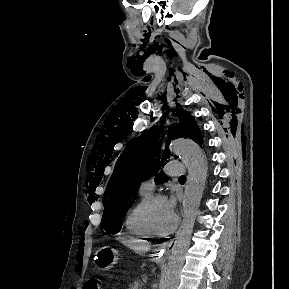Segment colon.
I'll list each match as a JSON object with an SVG mask.
<instances>
[{
    "mask_svg": "<svg viewBox=\"0 0 289 289\" xmlns=\"http://www.w3.org/2000/svg\"><path fill=\"white\" fill-rule=\"evenodd\" d=\"M84 289H103L101 283L97 280H90L86 283Z\"/></svg>",
    "mask_w": 289,
    "mask_h": 289,
    "instance_id": "colon-1",
    "label": "colon"
}]
</instances>
